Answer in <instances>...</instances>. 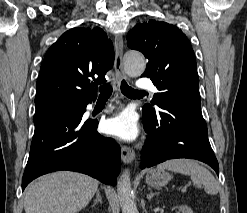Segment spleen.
Instances as JSON below:
<instances>
[{"label":"spleen","mask_w":247,"mask_h":213,"mask_svg":"<svg viewBox=\"0 0 247 213\" xmlns=\"http://www.w3.org/2000/svg\"><path fill=\"white\" fill-rule=\"evenodd\" d=\"M158 170H170L180 174L189 175L192 182L197 185H203L207 194L216 195L219 190V184L214 176L196 161L190 159L168 160L157 166Z\"/></svg>","instance_id":"spleen-1"}]
</instances>
